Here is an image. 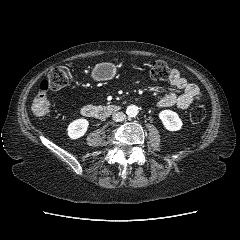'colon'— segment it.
Here are the masks:
<instances>
[{
  "label": "colon",
  "instance_id": "5ec220e1",
  "mask_svg": "<svg viewBox=\"0 0 240 240\" xmlns=\"http://www.w3.org/2000/svg\"><path fill=\"white\" fill-rule=\"evenodd\" d=\"M170 68L164 61H156L152 64L150 75L155 80H166L170 75ZM70 81V73L63 67L53 68L48 76L41 82L40 91L32 103V112L38 117L46 116L53 107L50 91L65 87ZM206 115L204 105L199 104L192 109L189 115L191 124L201 123Z\"/></svg>",
  "mask_w": 240,
  "mask_h": 240
}]
</instances>
